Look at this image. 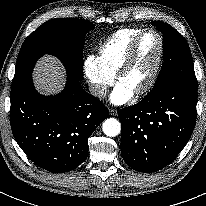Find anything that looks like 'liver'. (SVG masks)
<instances>
[{
  "instance_id": "1",
  "label": "liver",
  "mask_w": 206,
  "mask_h": 206,
  "mask_svg": "<svg viewBox=\"0 0 206 206\" xmlns=\"http://www.w3.org/2000/svg\"><path fill=\"white\" fill-rule=\"evenodd\" d=\"M37 89L43 94H55L65 84V72L61 63L53 56L42 57L33 72Z\"/></svg>"
}]
</instances>
